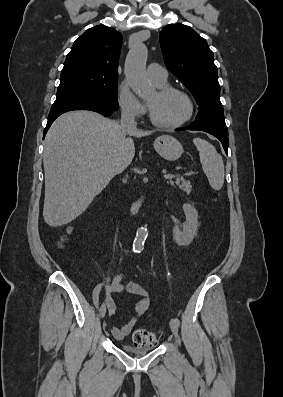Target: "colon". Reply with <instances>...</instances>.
<instances>
[{"mask_svg": "<svg viewBox=\"0 0 283 397\" xmlns=\"http://www.w3.org/2000/svg\"><path fill=\"white\" fill-rule=\"evenodd\" d=\"M157 334L148 329H137L133 334V343L137 347H147L156 341Z\"/></svg>", "mask_w": 283, "mask_h": 397, "instance_id": "1", "label": "colon"}]
</instances>
